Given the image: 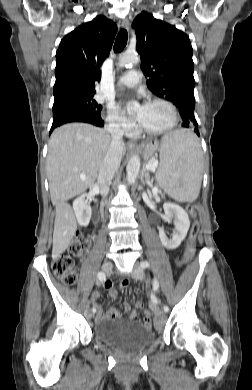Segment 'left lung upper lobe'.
I'll return each instance as SVG.
<instances>
[{
	"label": "left lung upper lobe",
	"mask_w": 252,
	"mask_h": 390,
	"mask_svg": "<svg viewBox=\"0 0 252 390\" xmlns=\"http://www.w3.org/2000/svg\"><path fill=\"white\" fill-rule=\"evenodd\" d=\"M132 26L148 88L158 97L173 102L181 116H194V63L189 37L147 12L138 15Z\"/></svg>",
	"instance_id": "1"
}]
</instances>
